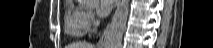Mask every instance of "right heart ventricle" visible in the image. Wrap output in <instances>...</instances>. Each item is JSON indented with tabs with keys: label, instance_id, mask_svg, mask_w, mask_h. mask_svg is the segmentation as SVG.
I'll return each instance as SVG.
<instances>
[{
	"label": "right heart ventricle",
	"instance_id": "1",
	"mask_svg": "<svg viewBox=\"0 0 213 48\" xmlns=\"http://www.w3.org/2000/svg\"><path fill=\"white\" fill-rule=\"evenodd\" d=\"M65 32L75 38L84 36L89 27L85 22V12L83 9L76 7L72 1L67 4L64 15Z\"/></svg>",
	"mask_w": 213,
	"mask_h": 48
}]
</instances>
